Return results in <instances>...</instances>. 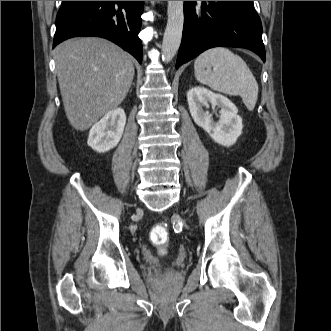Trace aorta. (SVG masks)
I'll list each match as a JSON object with an SVG mask.
<instances>
[{
  "mask_svg": "<svg viewBox=\"0 0 331 331\" xmlns=\"http://www.w3.org/2000/svg\"><path fill=\"white\" fill-rule=\"evenodd\" d=\"M184 1H168L167 26L162 42V59L170 62L181 44L184 25Z\"/></svg>",
  "mask_w": 331,
  "mask_h": 331,
  "instance_id": "aorta-1",
  "label": "aorta"
}]
</instances>
